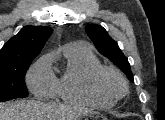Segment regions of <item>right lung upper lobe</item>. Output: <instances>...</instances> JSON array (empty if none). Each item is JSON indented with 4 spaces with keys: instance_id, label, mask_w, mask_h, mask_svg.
<instances>
[{
    "instance_id": "obj_1",
    "label": "right lung upper lobe",
    "mask_w": 165,
    "mask_h": 120,
    "mask_svg": "<svg viewBox=\"0 0 165 120\" xmlns=\"http://www.w3.org/2000/svg\"><path fill=\"white\" fill-rule=\"evenodd\" d=\"M52 32L47 26H24L0 50V62L34 59Z\"/></svg>"
}]
</instances>
